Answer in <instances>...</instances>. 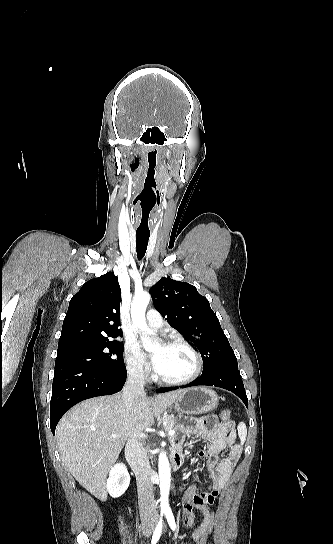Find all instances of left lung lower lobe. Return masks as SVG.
Returning <instances> with one entry per match:
<instances>
[{"mask_svg": "<svg viewBox=\"0 0 333 544\" xmlns=\"http://www.w3.org/2000/svg\"><path fill=\"white\" fill-rule=\"evenodd\" d=\"M198 385L216 386L227 389L236 394L244 402L246 407H248V399L246 396L244 385L240 376V372L238 371V367L236 366L226 365L213 368L207 373H202V375L195 381L181 388ZM178 388L179 387L162 388L157 391L159 393H164Z\"/></svg>", "mask_w": 333, "mask_h": 544, "instance_id": "1", "label": "left lung lower lobe"}]
</instances>
